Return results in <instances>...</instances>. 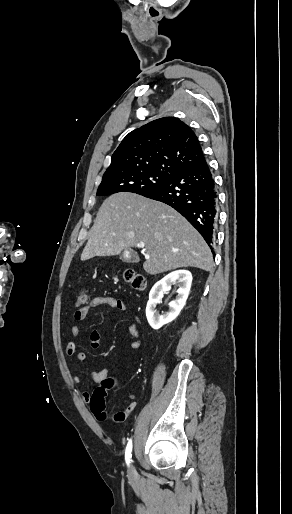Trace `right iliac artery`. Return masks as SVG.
<instances>
[{"label": "right iliac artery", "instance_id": "right-iliac-artery-1", "mask_svg": "<svg viewBox=\"0 0 292 514\" xmlns=\"http://www.w3.org/2000/svg\"><path fill=\"white\" fill-rule=\"evenodd\" d=\"M131 452H132V440L130 439L128 441V444H127L126 450H125V461H126L127 465H129V463H130Z\"/></svg>", "mask_w": 292, "mask_h": 514}]
</instances>
